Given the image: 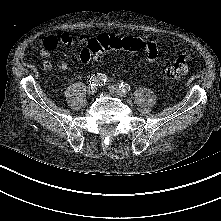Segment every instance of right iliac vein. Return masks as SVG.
Segmentation results:
<instances>
[{"label":"right iliac vein","instance_id":"right-iliac-vein-1","mask_svg":"<svg viewBox=\"0 0 221 221\" xmlns=\"http://www.w3.org/2000/svg\"><path fill=\"white\" fill-rule=\"evenodd\" d=\"M96 92H97V87L96 86L91 85L87 88V94L90 95V96L94 95Z\"/></svg>","mask_w":221,"mask_h":221}]
</instances>
